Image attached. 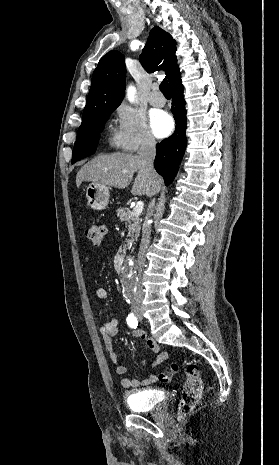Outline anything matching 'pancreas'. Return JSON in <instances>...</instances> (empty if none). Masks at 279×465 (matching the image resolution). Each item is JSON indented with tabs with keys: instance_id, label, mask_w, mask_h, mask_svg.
<instances>
[{
	"instance_id": "obj_1",
	"label": "pancreas",
	"mask_w": 279,
	"mask_h": 465,
	"mask_svg": "<svg viewBox=\"0 0 279 465\" xmlns=\"http://www.w3.org/2000/svg\"><path fill=\"white\" fill-rule=\"evenodd\" d=\"M117 216L121 222L125 223L128 231V239H126L123 249L126 250L131 247L135 240L139 237L141 229V220L138 216L132 215L129 208H119L117 210Z\"/></svg>"
}]
</instances>
